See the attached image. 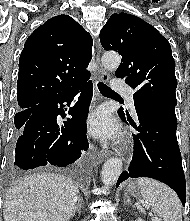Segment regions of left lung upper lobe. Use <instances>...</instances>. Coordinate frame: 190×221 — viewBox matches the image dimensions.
I'll list each match as a JSON object with an SVG mask.
<instances>
[{
	"instance_id": "left-lung-upper-lobe-1",
	"label": "left lung upper lobe",
	"mask_w": 190,
	"mask_h": 221,
	"mask_svg": "<svg viewBox=\"0 0 190 221\" xmlns=\"http://www.w3.org/2000/svg\"><path fill=\"white\" fill-rule=\"evenodd\" d=\"M100 42L105 50L121 55L115 76L136 90L134 104L154 101L177 105L171 46L152 25L131 14H113L100 32ZM119 112L124 114L123 109Z\"/></svg>"
}]
</instances>
